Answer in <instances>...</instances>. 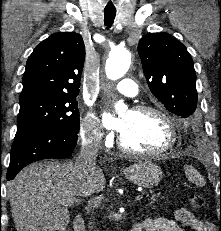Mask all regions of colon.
I'll list each match as a JSON object with an SVG mask.
<instances>
[{"label":"colon","instance_id":"5ec220e1","mask_svg":"<svg viewBox=\"0 0 221 231\" xmlns=\"http://www.w3.org/2000/svg\"><path fill=\"white\" fill-rule=\"evenodd\" d=\"M189 202L193 208H202L204 206V199L201 195L192 194L189 196Z\"/></svg>","mask_w":221,"mask_h":231}]
</instances>
